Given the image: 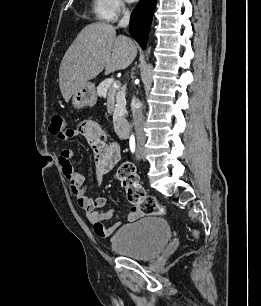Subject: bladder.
Returning <instances> with one entry per match:
<instances>
[{"label": "bladder", "mask_w": 261, "mask_h": 306, "mask_svg": "<svg viewBox=\"0 0 261 306\" xmlns=\"http://www.w3.org/2000/svg\"><path fill=\"white\" fill-rule=\"evenodd\" d=\"M171 237L167 221L147 216L120 227L110 238L113 252L135 260H149L157 256Z\"/></svg>", "instance_id": "1"}]
</instances>
